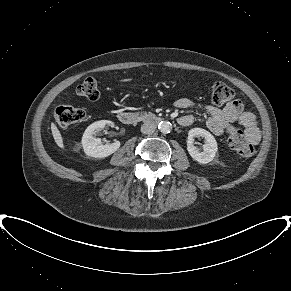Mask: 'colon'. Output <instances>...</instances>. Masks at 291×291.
I'll return each mask as SVG.
<instances>
[{
  "label": "colon",
  "mask_w": 291,
  "mask_h": 291,
  "mask_svg": "<svg viewBox=\"0 0 291 291\" xmlns=\"http://www.w3.org/2000/svg\"><path fill=\"white\" fill-rule=\"evenodd\" d=\"M98 81L89 77L76 88V95L90 101L99 98ZM212 101L215 105H223L234 97V91L223 82H214L211 86ZM54 118L56 122L64 127L81 122L85 118V111L70 105H60L55 109ZM228 143L236 155L248 158L254 154V145L246 138L244 132L234 126L226 129Z\"/></svg>",
  "instance_id": "5ec220e1"
}]
</instances>
